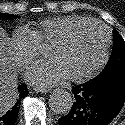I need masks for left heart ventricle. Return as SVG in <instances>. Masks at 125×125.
Returning <instances> with one entry per match:
<instances>
[{"instance_id":"obj_1","label":"left heart ventricle","mask_w":125,"mask_h":125,"mask_svg":"<svg viewBox=\"0 0 125 125\" xmlns=\"http://www.w3.org/2000/svg\"><path fill=\"white\" fill-rule=\"evenodd\" d=\"M104 44V31L100 26L91 24L78 29L64 44L51 47L49 53L62 63L69 76H77L98 63Z\"/></svg>"}]
</instances>
